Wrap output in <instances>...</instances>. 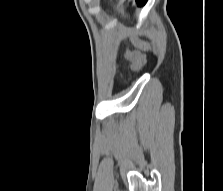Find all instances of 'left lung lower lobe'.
Segmentation results:
<instances>
[{"instance_id":"0a47b994","label":"left lung lower lobe","mask_w":223,"mask_h":191,"mask_svg":"<svg viewBox=\"0 0 223 191\" xmlns=\"http://www.w3.org/2000/svg\"><path fill=\"white\" fill-rule=\"evenodd\" d=\"M136 2L138 3V5H144L147 0H136Z\"/></svg>"}]
</instances>
